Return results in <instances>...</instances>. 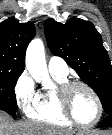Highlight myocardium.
Listing matches in <instances>:
<instances>
[{
	"label": "myocardium",
	"mask_w": 112,
	"mask_h": 135,
	"mask_svg": "<svg viewBox=\"0 0 112 135\" xmlns=\"http://www.w3.org/2000/svg\"><path fill=\"white\" fill-rule=\"evenodd\" d=\"M77 87L86 89L92 95L96 102L97 115L91 122L82 123L78 121L72 112L70 105V94ZM56 96L60 110L62 111L64 116L74 125L87 128L96 125L100 121L103 114V104L97 92L89 84L82 81H68L57 87Z\"/></svg>",
	"instance_id": "obj_1"
}]
</instances>
